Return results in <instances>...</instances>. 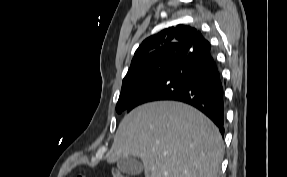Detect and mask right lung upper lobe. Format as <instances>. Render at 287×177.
<instances>
[{"label": "right lung upper lobe", "instance_id": "1", "mask_svg": "<svg viewBox=\"0 0 287 177\" xmlns=\"http://www.w3.org/2000/svg\"><path fill=\"white\" fill-rule=\"evenodd\" d=\"M199 34L200 32L195 28L177 25L145 39L136 50L128 73L123 80L166 57L177 56L182 60L192 50L193 43Z\"/></svg>", "mask_w": 287, "mask_h": 177}]
</instances>
